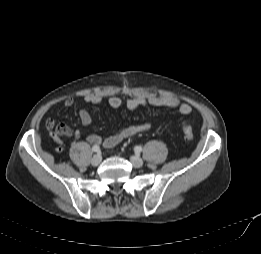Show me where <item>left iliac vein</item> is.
<instances>
[{
	"label": "left iliac vein",
	"instance_id": "obj_1",
	"mask_svg": "<svg viewBox=\"0 0 261 254\" xmlns=\"http://www.w3.org/2000/svg\"><path fill=\"white\" fill-rule=\"evenodd\" d=\"M130 161L135 168H140L143 166V160L137 155L131 156Z\"/></svg>",
	"mask_w": 261,
	"mask_h": 254
}]
</instances>
